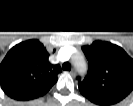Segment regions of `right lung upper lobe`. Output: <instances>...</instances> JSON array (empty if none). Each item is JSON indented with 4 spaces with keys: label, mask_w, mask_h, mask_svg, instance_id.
<instances>
[{
    "label": "right lung upper lobe",
    "mask_w": 133,
    "mask_h": 106,
    "mask_svg": "<svg viewBox=\"0 0 133 106\" xmlns=\"http://www.w3.org/2000/svg\"><path fill=\"white\" fill-rule=\"evenodd\" d=\"M48 53L37 40L17 44L0 64V84L10 98L27 101L46 94L62 71L48 61Z\"/></svg>",
    "instance_id": "obj_1"
}]
</instances>
